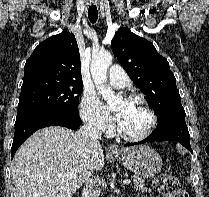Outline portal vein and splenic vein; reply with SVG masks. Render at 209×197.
Returning <instances> with one entry per match:
<instances>
[{
	"mask_svg": "<svg viewBox=\"0 0 209 197\" xmlns=\"http://www.w3.org/2000/svg\"><path fill=\"white\" fill-rule=\"evenodd\" d=\"M67 177L68 178H77V175L76 174H73V173H70V174L67 175ZM85 180L87 182H90V183H92V182L96 183V180L93 181V180L88 179V178H85ZM123 183L124 184H130L131 183V180L126 179V180L123 181Z\"/></svg>",
	"mask_w": 209,
	"mask_h": 197,
	"instance_id": "1",
	"label": "portal vein and splenic vein"
}]
</instances>
